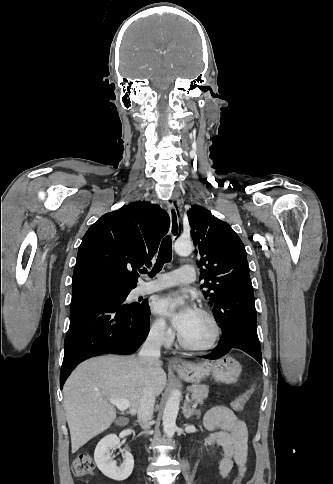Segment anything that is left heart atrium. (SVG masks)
<instances>
[{
  "label": "left heart atrium",
  "mask_w": 333,
  "mask_h": 484,
  "mask_svg": "<svg viewBox=\"0 0 333 484\" xmlns=\"http://www.w3.org/2000/svg\"><path fill=\"white\" fill-rule=\"evenodd\" d=\"M183 299H185L184 295L171 293L159 298L154 306L155 313L170 319L179 333L195 313V309L190 304H180Z\"/></svg>",
  "instance_id": "left-heart-atrium-1"
}]
</instances>
